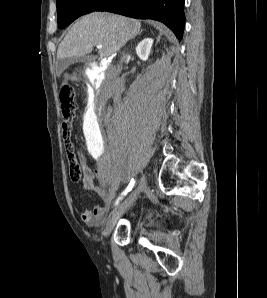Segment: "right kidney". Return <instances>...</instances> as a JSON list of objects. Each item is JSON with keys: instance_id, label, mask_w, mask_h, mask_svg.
Wrapping results in <instances>:
<instances>
[{"instance_id": "obj_1", "label": "right kidney", "mask_w": 267, "mask_h": 298, "mask_svg": "<svg viewBox=\"0 0 267 298\" xmlns=\"http://www.w3.org/2000/svg\"><path fill=\"white\" fill-rule=\"evenodd\" d=\"M152 45L153 39L151 38H145L137 45L136 53L142 61H146L148 59Z\"/></svg>"}]
</instances>
